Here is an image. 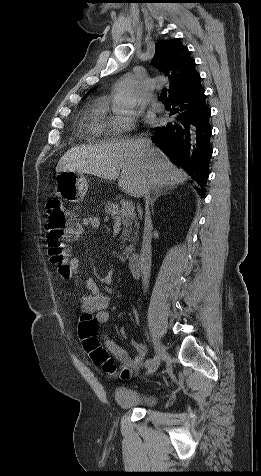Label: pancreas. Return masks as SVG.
<instances>
[{"mask_svg": "<svg viewBox=\"0 0 261 476\" xmlns=\"http://www.w3.org/2000/svg\"><path fill=\"white\" fill-rule=\"evenodd\" d=\"M105 213L113 219L114 223H119L123 226L120 237L121 244H125L126 241L130 242V245L128 246H122L123 256L129 257L132 251H134L133 242L135 241L138 232L137 230H134L132 226L134 224L137 229L139 227L136 215L133 213L131 215L122 216L119 204L110 201L105 205Z\"/></svg>", "mask_w": 261, "mask_h": 476, "instance_id": "obj_1", "label": "pancreas"}]
</instances>
